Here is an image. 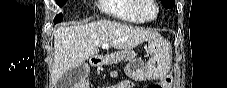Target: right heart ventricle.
<instances>
[{"instance_id": "right-heart-ventricle-1", "label": "right heart ventricle", "mask_w": 227, "mask_h": 88, "mask_svg": "<svg viewBox=\"0 0 227 88\" xmlns=\"http://www.w3.org/2000/svg\"><path fill=\"white\" fill-rule=\"evenodd\" d=\"M134 0H100V10L115 19L139 23L140 19L133 11Z\"/></svg>"}]
</instances>
